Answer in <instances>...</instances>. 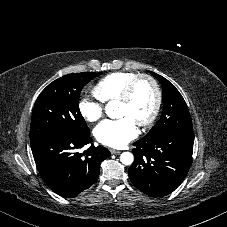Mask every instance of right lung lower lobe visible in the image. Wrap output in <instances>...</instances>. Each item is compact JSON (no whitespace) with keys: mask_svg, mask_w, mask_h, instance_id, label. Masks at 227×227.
I'll return each mask as SVG.
<instances>
[{"mask_svg":"<svg viewBox=\"0 0 227 227\" xmlns=\"http://www.w3.org/2000/svg\"><path fill=\"white\" fill-rule=\"evenodd\" d=\"M30 142L41 177L55 193L66 198L76 197L96 183L101 162L110 156L107 148L93 144L83 153L77 152L92 143L90 132H50Z\"/></svg>","mask_w":227,"mask_h":227,"instance_id":"obj_1","label":"right lung lower lobe"}]
</instances>
